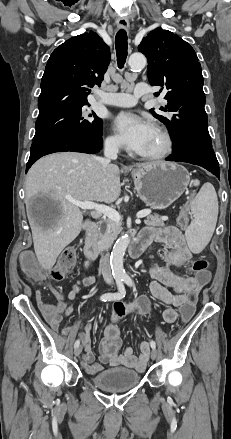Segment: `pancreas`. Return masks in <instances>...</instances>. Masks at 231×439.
Wrapping results in <instances>:
<instances>
[{"label": "pancreas", "instance_id": "pancreas-1", "mask_svg": "<svg viewBox=\"0 0 231 439\" xmlns=\"http://www.w3.org/2000/svg\"><path fill=\"white\" fill-rule=\"evenodd\" d=\"M145 224L148 226H164V220L156 216H148L145 220ZM122 231L121 222H116L111 219H107L105 224L99 227L96 233L97 246L100 250L108 249L113 241L117 238L118 234Z\"/></svg>", "mask_w": 231, "mask_h": 439}]
</instances>
